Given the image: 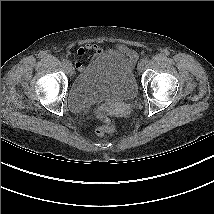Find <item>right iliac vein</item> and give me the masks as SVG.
Masks as SVG:
<instances>
[{
    "label": "right iliac vein",
    "instance_id": "right-iliac-vein-1",
    "mask_svg": "<svg viewBox=\"0 0 214 214\" xmlns=\"http://www.w3.org/2000/svg\"><path fill=\"white\" fill-rule=\"evenodd\" d=\"M66 66H67V68L69 70L70 75L72 76L73 73H74L73 68H72V64L69 62Z\"/></svg>",
    "mask_w": 214,
    "mask_h": 214
}]
</instances>
